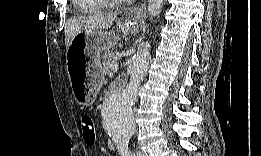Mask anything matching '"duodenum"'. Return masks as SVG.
Segmentation results:
<instances>
[{"mask_svg":"<svg viewBox=\"0 0 261 156\" xmlns=\"http://www.w3.org/2000/svg\"><path fill=\"white\" fill-rule=\"evenodd\" d=\"M123 87V82L122 81H118L117 84L115 86H113L109 92V96L108 98H111L112 96H114L116 94V92L121 89Z\"/></svg>","mask_w":261,"mask_h":156,"instance_id":"410a0bca","label":"duodenum"}]
</instances>
